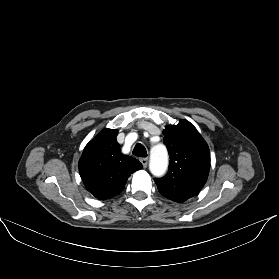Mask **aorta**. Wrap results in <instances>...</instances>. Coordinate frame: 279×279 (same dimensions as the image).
Here are the masks:
<instances>
[{
    "label": "aorta",
    "instance_id": "obj_1",
    "mask_svg": "<svg viewBox=\"0 0 279 279\" xmlns=\"http://www.w3.org/2000/svg\"><path fill=\"white\" fill-rule=\"evenodd\" d=\"M150 171L155 176L163 175L168 167V153L163 144H157L150 151Z\"/></svg>",
    "mask_w": 279,
    "mask_h": 279
}]
</instances>
